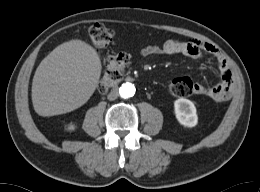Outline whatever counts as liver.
<instances>
[{"instance_id":"liver-1","label":"liver","mask_w":260,"mask_h":192,"mask_svg":"<svg viewBox=\"0 0 260 192\" xmlns=\"http://www.w3.org/2000/svg\"><path fill=\"white\" fill-rule=\"evenodd\" d=\"M102 65L97 51L74 39L57 46L37 67L32 103L40 116L71 112L84 105L99 82Z\"/></svg>"}]
</instances>
